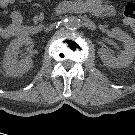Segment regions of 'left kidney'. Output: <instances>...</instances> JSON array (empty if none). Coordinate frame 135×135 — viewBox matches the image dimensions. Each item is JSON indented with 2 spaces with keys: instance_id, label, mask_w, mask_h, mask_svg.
Here are the masks:
<instances>
[{
  "instance_id": "5707ae66",
  "label": "left kidney",
  "mask_w": 135,
  "mask_h": 135,
  "mask_svg": "<svg viewBox=\"0 0 135 135\" xmlns=\"http://www.w3.org/2000/svg\"><path fill=\"white\" fill-rule=\"evenodd\" d=\"M113 34L123 42L124 50L119 57H114L106 48H101L98 54L104 65L112 68L128 67L135 57V41L119 28L112 29Z\"/></svg>"
}]
</instances>
